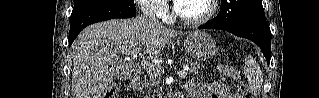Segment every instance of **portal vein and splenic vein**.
Here are the masks:
<instances>
[{"instance_id": "portal-vein-and-splenic-vein-1", "label": "portal vein and splenic vein", "mask_w": 319, "mask_h": 98, "mask_svg": "<svg viewBox=\"0 0 319 98\" xmlns=\"http://www.w3.org/2000/svg\"><path fill=\"white\" fill-rule=\"evenodd\" d=\"M140 51H141V48L137 47V48H135L133 50H123L120 53L125 54V55H129L132 58H137L138 55L140 54ZM141 66H142V68L144 70H146L150 74H155L156 75V74H158L160 72V68H159L158 65L151 64L150 62H148L146 60H142L141 61ZM188 69L189 68L187 66L184 67L183 70H180L178 72V76L180 78L186 77Z\"/></svg>"}]
</instances>
